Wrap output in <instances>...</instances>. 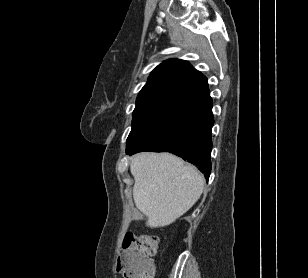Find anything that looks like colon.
<instances>
[{
  "mask_svg": "<svg viewBox=\"0 0 308 278\" xmlns=\"http://www.w3.org/2000/svg\"><path fill=\"white\" fill-rule=\"evenodd\" d=\"M159 239L152 236L127 234L117 263V270L124 278H151L149 262L158 250Z\"/></svg>",
  "mask_w": 308,
  "mask_h": 278,
  "instance_id": "obj_1",
  "label": "colon"
}]
</instances>
